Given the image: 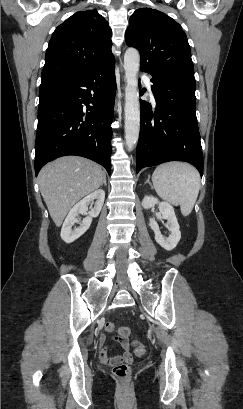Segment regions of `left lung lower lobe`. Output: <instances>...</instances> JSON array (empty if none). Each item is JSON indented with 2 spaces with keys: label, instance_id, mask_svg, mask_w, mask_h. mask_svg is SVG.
<instances>
[{
  "label": "left lung lower lobe",
  "instance_id": "0a47b994",
  "mask_svg": "<svg viewBox=\"0 0 243 409\" xmlns=\"http://www.w3.org/2000/svg\"><path fill=\"white\" fill-rule=\"evenodd\" d=\"M151 82L156 107L152 109L150 104L140 100L136 172L168 161H186L194 165L202 177L194 70H167L152 76Z\"/></svg>",
  "mask_w": 243,
  "mask_h": 409
}]
</instances>
